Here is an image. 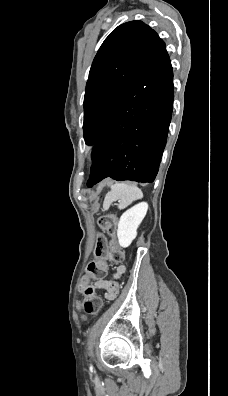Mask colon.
<instances>
[{
    "label": "colon",
    "mask_w": 228,
    "mask_h": 396,
    "mask_svg": "<svg viewBox=\"0 0 228 396\" xmlns=\"http://www.w3.org/2000/svg\"><path fill=\"white\" fill-rule=\"evenodd\" d=\"M98 227L101 231L113 237L117 228L116 216L114 214L101 215L98 219ZM106 259L120 262L123 259V254L114 240L107 246L104 237L99 235L95 248V260L87 265L80 285L84 298L79 307L83 315L97 314L103 306L102 299L95 293L90 281L104 277Z\"/></svg>",
    "instance_id": "obj_1"
}]
</instances>
